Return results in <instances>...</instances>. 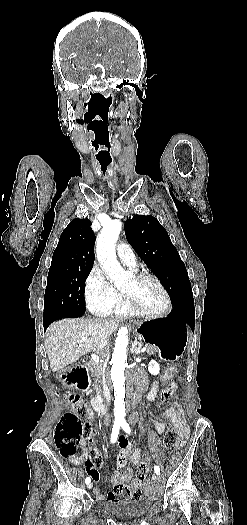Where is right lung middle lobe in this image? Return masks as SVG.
<instances>
[{
	"mask_svg": "<svg viewBox=\"0 0 247 525\" xmlns=\"http://www.w3.org/2000/svg\"><path fill=\"white\" fill-rule=\"evenodd\" d=\"M91 269L49 271L44 297L43 323L85 312L84 285Z\"/></svg>",
	"mask_w": 247,
	"mask_h": 525,
	"instance_id": "1",
	"label": "right lung middle lobe"
}]
</instances>
